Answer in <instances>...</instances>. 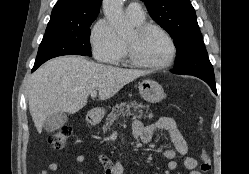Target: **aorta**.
I'll list each match as a JSON object with an SVG mask.
<instances>
[{"label": "aorta", "mask_w": 249, "mask_h": 174, "mask_svg": "<svg viewBox=\"0 0 249 174\" xmlns=\"http://www.w3.org/2000/svg\"><path fill=\"white\" fill-rule=\"evenodd\" d=\"M103 11L118 35H125L129 31L130 24L124 15L123 0H103Z\"/></svg>", "instance_id": "aorta-1"}]
</instances>
